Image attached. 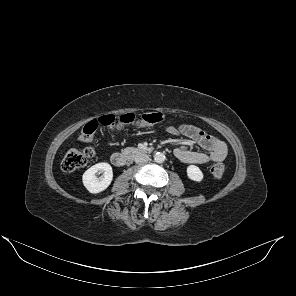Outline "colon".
Returning <instances> with one entry per match:
<instances>
[{"label":"colon","mask_w":296,"mask_h":296,"mask_svg":"<svg viewBox=\"0 0 296 296\" xmlns=\"http://www.w3.org/2000/svg\"><path fill=\"white\" fill-rule=\"evenodd\" d=\"M164 115L160 112H149L142 115L127 113L119 117L114 115H103L97 120L86 123L79 135L81 141H89L99 128H106L111 131H120L128 127H146L160 123L164 120ZM91 148H74L69 150L62 161V169L66 172L75 171L85 166L92 157ZM225 173V166L222 163H216L211 167V174L220 178Z\"/></svg>","instance_id":"colon-1"}]
</instances>
